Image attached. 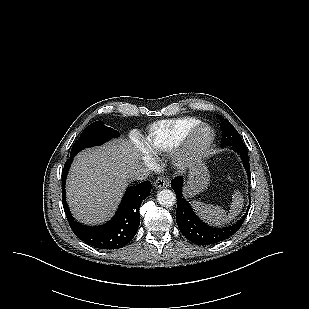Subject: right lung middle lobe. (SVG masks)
I'll list each match as a JSON object with an SVG mask.
<instances>
[{
  "instance_id": "dd1d6c3e",
  "label": "right lung middle lobe",
  "mask_w": 309,
  "mask_h": 309,
  "mask_svg": "<svg viewBox=\"0 0 309 309\" xmlns=\"http://www.w3.org/2000/svg\"><path fill=\"white\" fill-rule=\"evenodd\" d=\"M119 135L117 130L105 126L102 121L90 124L81 133L80 138L74 143L70 156H75L84 148L101 145L111 138Z\"/></svg>"
}]
</instances>
